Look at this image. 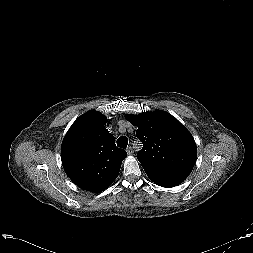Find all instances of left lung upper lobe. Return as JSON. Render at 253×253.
Segmentation results:
<instances>
[{"instance_id":"1","label":"left lung upper lobe","mask_w":253,"mask_h":253,"mask_svg":"<svg viewBox=\"0 0 253 253\" xmlns=\"http://www.w3.org/2000/svg\"><path fill=\"white\" fill-rule=\"evenodd\" d=\"M137 127L143 143L137 159L143 168L190 173L197 159L191 133L171 114L164 111L126 115Z\"/></svg>"}]
</instances>
